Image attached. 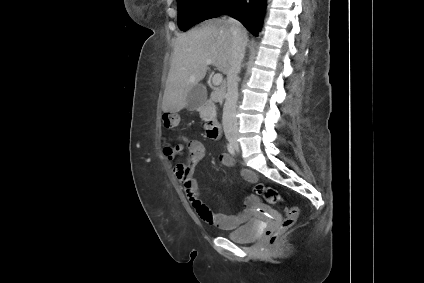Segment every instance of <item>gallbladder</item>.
Returning <instances> with one entry per match:
<instances>
[{
  "mask_svg": "<svg viewBox=\"0 0 424 283\" xmlns=\"http://www.w3.org/2000/svg\"><path fill=\"white\" fill-rule=\"evenodd\" d=\"M206 96L205 89L201 85L193 87L187 95V108L191 111L198 108Z\"/></svg>",
  "mask_w": 424,
  "mask_h": 283,
  "instance_id": "bac80fb5",
  "label": "gallbladder"
}]
</instances>
